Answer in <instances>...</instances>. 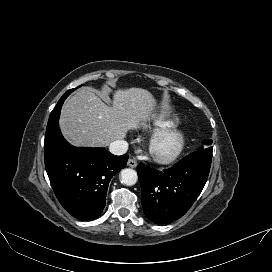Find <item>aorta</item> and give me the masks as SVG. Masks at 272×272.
Wrapping results in <instances>:
<instances>
[{"label": "aorta", "instance_id": "aorta-1", "mask_svg": "<svg viewBox=\"0 0 272 272\" xmlns=\"http://www.w3.org/2000/svg\"><path fill=\"white\" fill-rule=\"evenodd\" d=\"M121 182L127 186L136 184L138 180L137 172L131 168H126L121 171Z\"/></svg>", "mask_w": 272, "mask_h": 272}]
</instances>
